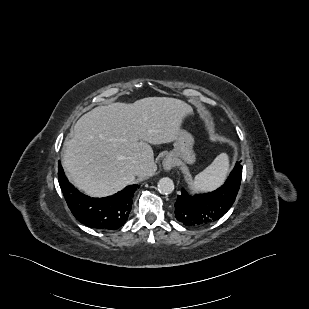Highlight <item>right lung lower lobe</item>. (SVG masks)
Listing matches in <instances>:
<instances>
[{
    "mask_svg": "<svg viewBox=\"0 0 309 309\" xmlns=\"http://www.w3.org/2000/svg\"><path fill=\"white\" fill-rule=\"evenodd\" d=\"M58 164L59 185L69 209L79 222L91 228L110 230L118 229L126 223L138 185H130L109 197L90 198L69 183L61 163Z\"/></svg>",
    "mask_w": 309,
    "mask_h": 309,
    "instance_id": "1",
    "label": "right lung lower lobe"
}]
</instances>
